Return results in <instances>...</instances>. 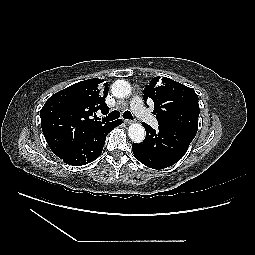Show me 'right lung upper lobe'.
<instances>
[{
    "label": "right lung upper lobe",
    "instance_id": "cb5924a9",
    "mask_svg": "<svg viewBox=\"0 0 255 255\" xmlns=\"http://www.w3.org/2000/svg\"><path fill=\"white\" fill-rule=\"evenodd\" d=\"M101 79H88L71 85L52 95L40 111L41 127L45 139L60 156L74 141L88 131L104 126L92 119L96 112H109L105 103L108 83ZM101 87V88H100Z\"/></svg>",
    "mask_w": 255,
    "mask_h": 255
}]
</instances>
